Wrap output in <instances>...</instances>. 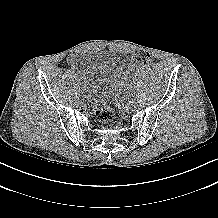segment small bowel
<instances>
[{
	"instance_id": "small-bowel-1",
	"label": "small bowel",
	"mask_w": 218,
	"mask_h": 218,
	"mask_svg": "<svg viewBox=\"0 0 218 218\" xmlns=\"http://www.w3.org/2000/svg\"><path fill=\"white\" fill-rule=\"evenodd\" d=\"M68 62L69 64H71L72 66H75L77 64V57L72 55L68 58Z\"/></svg>"
}]
</instances>
